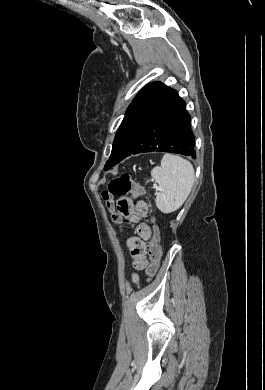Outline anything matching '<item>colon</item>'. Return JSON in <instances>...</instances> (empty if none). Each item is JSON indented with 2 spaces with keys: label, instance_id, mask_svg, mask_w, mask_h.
Here are the masks:
<instances>
[{
  "label": "colon",
  "instance_id": "colon-1",
  "mask_svg": "<svg viewBox=\"0 0 265 390\" xmlns=\"http://www.w3.org/2000/svg\"><path fill=\"white\" fill-rule=\"evenodd\" d=\"M143 194V186L133 181L127 173H123L109 182L107 189L102 192V197L106 203L107 209L111 214V219L115 223H120L121 215L118 212L116 205L112 200V197H124L127 195L139 197ZM146 252L150 260V264L146 269V273L149 277H153L159 269L160 260L162 256L161 248L159 245V232L156 226L153 227V236L147 244Z\"/></svg>",
  "mask_w": 265,
  "mask_h": 390
}]
</instances>
